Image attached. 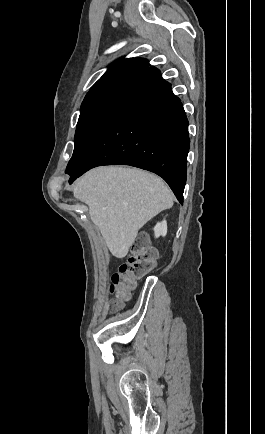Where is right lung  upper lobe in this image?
Segmentation results:
<instances>
[{
  "label": "right lung upper lobe",
  "instance_id": "cb5924a9",
  "mask_svg": "<svg viewBox=\"0 0 265 434\" xmlns=\"http://www.w3.org/2000/svg\"><path fill=\"white\" fill-rule=\"evenodd\" d=\"M149 65V62L143 58H122L113 63L98 81L119 75L135 76L137 73L148 68Z\"/></svg>",
  "mask_w": 265,
  "mask_h": 434
}]
</instances>
